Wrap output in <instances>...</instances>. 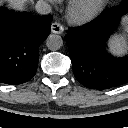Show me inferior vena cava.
I'll list each match as a JSON object with an SVG mask.
<instances>
[{"mask_svg":"<svg viewBox=\"0 0 128 128\" xmlns=\"http://www.w3.org/2000/svg\"><path fill=\"white\" fill-rule=\"evenodd\" d=\"M35 8H36V11L41 15H46V14L51 13L50 4H48L46 1H43V0H39L36 3Z\"/></svg>","mask_w":128,"mask_h":128,"instance_id":"602c4592","label":"inferior vena cava"}]
</instances>
